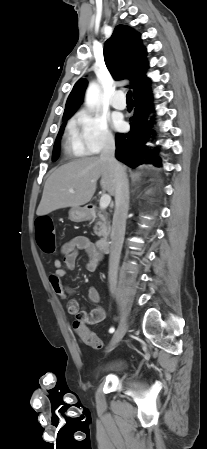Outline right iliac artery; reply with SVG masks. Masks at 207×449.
Returning a JSON list of instances; mask_svg holds the SVG:
<instances>
[{
    "label": "right iliac artery",
    "instance_id": "82829eb1",
    "mask_svg": "<svg viewBox=\"0 0 207 449\" xmlns=\"http://www.w3.org/2000/svg\"><path fill=\"white\" fill-rule=\"evenodd\" d=\"M115 331V329L113 328V327H111L110 329H109V332L110 333H113Z\"/></svg>",
    "mask_w": 207,
    "mask_h": 449
}]
</instances>
